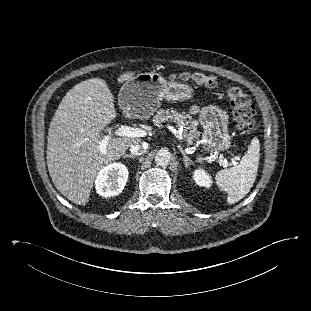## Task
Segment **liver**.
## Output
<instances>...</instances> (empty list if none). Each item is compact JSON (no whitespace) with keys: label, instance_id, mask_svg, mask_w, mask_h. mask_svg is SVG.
<instances>
[{"label":"liver","instance_id":"liver-1","mask_svg":"<svg viewBox=\"0 0 311 311\" xmlns=\"http://www.w3.org/2000/svg\"><path fill=\"white\" fill-rule=\"evenodd\" d=\"M134 75L123 74L118 82L129 81ZM116 116L114 96L106 81L91 78L66 93L52 118L47 167L57 190L73 203L85 205L99 171L141 142L139 137H113L104 151L99 149L101 131Z\"/></svg>","mask_w":311,"mask_h":311}]
</instances>
